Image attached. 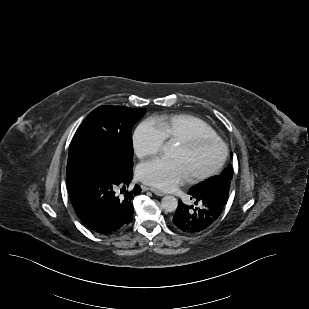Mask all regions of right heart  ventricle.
<instances>
[{"label": "right heart ventricle", "mask_w": 309, "mask_h": 309, "mask_svg": "<svg viewBox=\"0 0 309 309\" xmlns=\"http://www.w3.org/2000/svg\"><path fill=\"white\" fill-rule=\"evenodd\" d=\"M165 140L179 141L196 134L216 136L214 129L201 118L191 114H175L155 119Z\"/></svg>", "instance_id": "right-heart-ventricle-1"}]
</instances>
